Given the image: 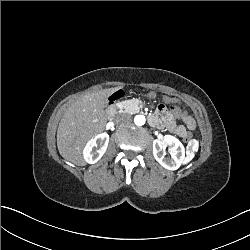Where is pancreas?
<instances>
[{"instance_id":"obj_1","label":"pancreas","mask_w":250,"mask_h":250,"mask_svg":"<svg viewBox=\"0 0 250 250\" xmlns=\"http://www.w3.org/2000/svg\"><path fill=\"white\" fill-rule=\"evenodd\" d=\"M136 106H137V102L136 101H131V102L128 103L126 108H127V110H131V109H135Z\"/></svg>"}]
</instances>
